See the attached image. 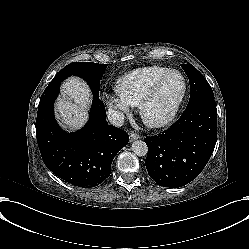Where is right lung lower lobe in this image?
Here are the masks:
<instances>
[{
  "label": "right lung lower lobe",
  "mask_w": 249,
  "mask_h": 249,
  "mask_svg": "<svg viewBox=\"0 0 249 249\" xmlns=\"http://www.w3.org/2000/svg\"><path fill=\"white\" fill-rule=\"evenodd\" d=\"M54 80V79H53ZM50 82L41 96L36 119V137L46 167L79 187H95L110 175L115 155L128 143V134L106 121L104 104L94 97L88 123L67 134L57 125L53 103L60 82Z\"/></svg>",
  "instance_id": "98d812e1"
}]
</instances>
